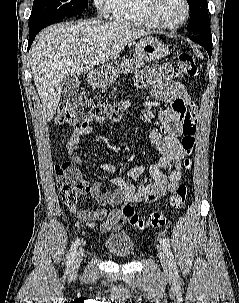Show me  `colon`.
<instances>
[{
  "label": "colon",
  "instance_id": "colon-1",
  "mask_svg": "<svg viewBox=\"0 0 239 303\" xmlns=\"http://www.w3.org/2000/svg\"><path fill=\"white\" fill-rule=\"evenodd\" d=\"M177 73L181 77L194 78L199 75V68L194 57L189 53H183L179 56L177 62ZM85 106L91 108L96 114L110 117L117 114L123 105L115 106L108 104L100 99H88L84 95H75L67 97L60 103L57 121L59 123H75L82 114ZM182 119V140L181 144L185 151L183 161L184 168L189 170L191 167L190 155L195 146L196 135L198 130L197 106L192 103L187 111L181 116ZM56 181L59 195L64 204L76 206L81 195L87 190L88 184L83 174L71 163L64 162L56 166ZM188 195V188L180 185L175 193L170 197V206L179 209L184 206ZM123 217L134 227L143 228H160L166 224V214L162 211H153L146 217L139 216L132 205L131 201H126L122 208Z\"/></svg>",
  "mask_w": 239,
  "mask_h": 303
}]
</instances>
